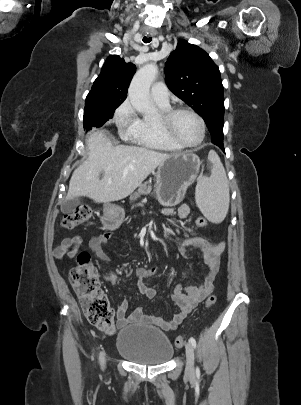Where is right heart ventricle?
<instances>
[{
	"label": "right heart ventricle",
	"instance_id": "obj_1",
	"mask_svg": "<svg viewBox=\"0 0 301 405\" xmlns=\"http://www.w3.org/2000/svg\"><path fill=\"white\" fill-rule=\"evenodd\" d=\"M160 106V105H159ZM162 110L168 106H160ZM136 144L159 151L175 152L181 147L167 139L159 130L157 120L148 118H138L135 126L127 134Z\"/></svg>",
	"mask_w": 301,
	"mask_h": 405
}]
</instances>
